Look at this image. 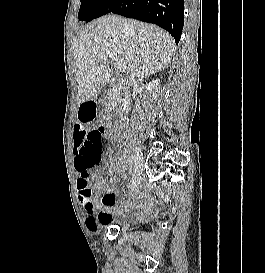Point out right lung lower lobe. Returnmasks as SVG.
Here are the masks:
<instances>
[{
  "label": "right lung lower lobe",
  "mask_w": 265,
  "mask_h": 273,
  "mask_svg": "<svg viewBox=\"0 0 265 273\" xmlns=\"http://www.w3.org/2000/svg\"><path fill=\"white\" fill-rule=\"evenodd\" d=\"M109 13L154 23L178 44L184 25V0H118Z\"/></svg>",
  "instance_id": "1"
}]
</instances>
